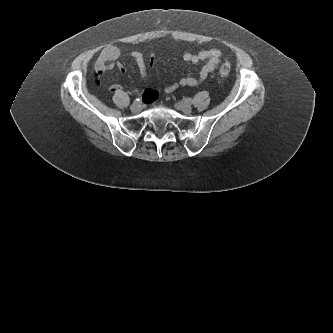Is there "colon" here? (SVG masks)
Returning a JSON list of instances; mask_svg holds the SVG:
<instances>
[{"label": "colon", "instance_id": "colon-1", "mask_svg": "<svg viewBox=\"0 0 333 333\" xmlns=\"http://www.w3.org/2000/svg\"><path fill=\"white\" fill-rule=\"evenodd\" d=\"M229 72H230V65L228 63H224L219 69V73L223 77L227 76Z\"/></svg>", "mask_w": 333, "mask_h": 333}]
</instances>
